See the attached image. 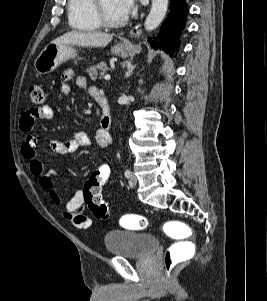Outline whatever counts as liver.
<instances>
[{
    "label": "liver",
    "mask_w": 267,
    "mask_h": 301,
    "mask_svg": "<svg viewBox=\"0 0 267 301\" xmlns=\"http://www.w3.org/2000/svg\"><path fill=\"white\" fill-rule=\"evenodd\" d=\"M113 39V35L101 32L71 31L52 41L55 44H70L83 47H105Z\"/></svg>",
    "instance_id": "1"
}]
</instances>
